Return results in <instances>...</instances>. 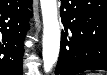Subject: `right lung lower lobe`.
Returning <instances> with one entry per match:
<instances>
[{
    "label": "right lung lower lobe",
    "mask_w": 107,
    "mask_h": 75,
    "mask_svg": "<svg viewBox=\"0 0 107 75\" xmlns=\"http://www.w3.org/2000/svg\"><path fill=\"white\" fill-rule=\"evenodd\" d=\"M31 0H0V75H22Z\"/></svg>",
    "instance_id": "98d812e1"
}]
</instances>
